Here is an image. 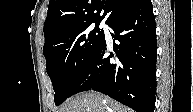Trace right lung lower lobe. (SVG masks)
Masks as SVG:
<instances>
[{
	"label": "right lung lower lobe",
	"instance_id": "1",
	"mask_svg": "<svg viewBox=\"0 0 193 112\" xmlns=\"http://www.w3.org/2000/svg\"><path fill=\"white\" fill-rule=\"evenodd\" d=\"M107 24L115 56L105 55L104 36L70 95L92 89L136 112H154L157 41L151 1L137 0Z\"/></svg>",
	"mask_w": 193,
	"mask_h": 112
}]
</instances>
